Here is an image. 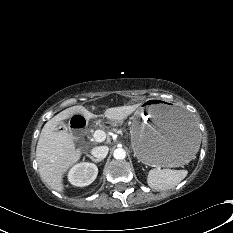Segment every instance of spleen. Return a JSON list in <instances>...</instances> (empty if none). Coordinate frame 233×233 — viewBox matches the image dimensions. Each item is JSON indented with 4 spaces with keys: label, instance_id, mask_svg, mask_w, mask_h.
Masks as SVG:
<instances>
[{
    "label": "spleen",
    "instance_id": "3e777b00",
    "mask_svg": "<svg viewBox=\"0 0 233 233\" xmlns=\"http://www.w3.org/2000/svg\"><path fill=\"white\" fill-rule=\"evenodd\" d=\"M186 175V170L152 169L148 173L147 183L153 189L167 190L178 185Z\"/></svg>",
    "mask_w": 233,
    "mask_h": 233
}]
</instances>
